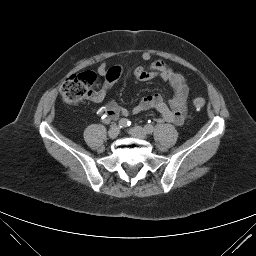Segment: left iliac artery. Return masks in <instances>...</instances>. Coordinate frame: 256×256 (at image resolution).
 Masks as SVG:
<instances>
[{
  "label": "left iliac artery",
  "mask_w": 256,
  "mask_h": 256,
  "mask_svg": "<svg viewBox=\"0 0 256 256\" xmlns=\"http://www.w3.org/2000/svg\"><path fill=\"white\" fill-rule=\"evenodd\" d=\"M144 130H145L146 133L151 134V133L154 131V126H153V125L146 124V125L144 126Z\"/></svg>",
  "instance_id": "obj_1"
}]
</instances>
